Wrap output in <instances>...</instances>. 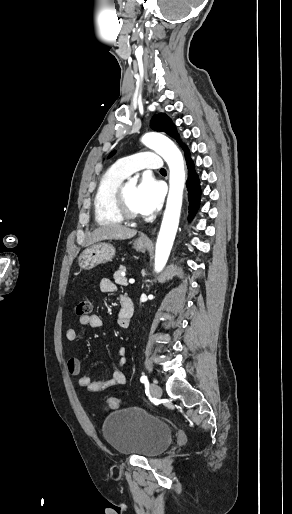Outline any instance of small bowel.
Here are the masks:
<instances>
[{
	"label": "small bowel",
	"mask_w": 292,
	"mask_h": 514,
	"mask_svg": "<svg viewBox=\"0 0 292 514\" xmlns=\"http://www.w3.org/2000/svg\"><path fill=\"white\" fill-rule=\"evenodd\" d=\"M101 292L105 294H112L116 291V285L109 278H102L99 283ZM79 326L90 327L92 329H99L102 327V318L98 314H90L81 316L79 318ZM117 324L121 329H128L130 326V318L126 317L123 309L120 306L118 311ZM79 337V327L72 326L66 332L68 341H76ZM118 354L121 356L119 363L114 367L110 377L93 381L89 375H81L82 363L77 357H72L68 360L67 369L70 375L77 377L78 385L85 388L88 392H101L114 386L126 383L127 377L123 371V365L126 362L125 348L119 347Z\"/></svg>",
	"instance_id": "c3829d8e"
}]
</instances>
